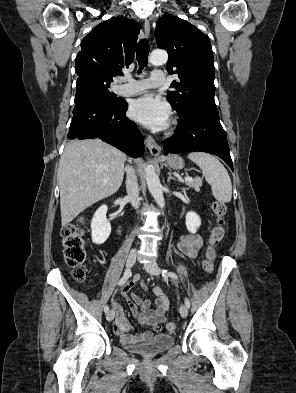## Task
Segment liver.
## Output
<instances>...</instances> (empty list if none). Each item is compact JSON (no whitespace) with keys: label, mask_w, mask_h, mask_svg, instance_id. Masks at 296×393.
I'll return each mask as SVG.
<instances>
[{"label":"liver","mask_w":296,"mask_h":393,"mask_svg":"<svg viewBox=\"0 0 296 393\" xmlns=\"http://www.w3.org/2000/svg\"><path fill=\"white\" fill-rule=\"evenodd\" d=\"M125 160L123 152L100 139L74 140L65 146L58 168L62 227L118 191Z\"/></svg>","instance_id":"6515ba94"}]
</instances>
